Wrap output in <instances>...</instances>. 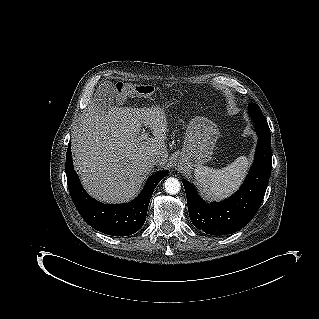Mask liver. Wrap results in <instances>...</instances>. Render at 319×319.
<instances>
[{"label": "liver", "instance_id": "liver-1", "mask_svg": "<svg viewBox=\"0 0 319 319\" xmlns=\"http://www.w3.org/2000/svg\"><path fill=\"white\" fill-rule=\"evenodd\" d=\"M98 96L85 109L73 136V164L92 197L123 203L136 196L152 170L150 157L160 156V165L167 163V120L158 106L143 110L110 104L101 109ZM143 124L155 136L146 142L138 140Z\"/></svg>", "mask_w": 319, "mask_h": 319}]
</instances>
